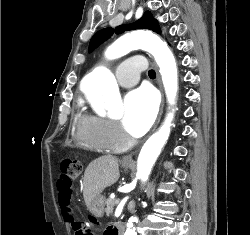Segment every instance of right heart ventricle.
Masks as SVG:
<instances>
[{
  "instance_id": "1",
  "label": "right heart ventricle",
  "mask_w": 250,
  "mask_h": 235,
  "mask_svg": "<svg viewBox=\"0 0 250 235\" xmlns=\"http://www.w3.org/2000/svg\"><path fill=\"white\" fill-rule=\"evenodd\" d=\"M103 119L89 113L79 104L76 118V138L83 147L98 152H115L119 150L109 145L102 135Z\"/></svg>"
}]
</instances>
